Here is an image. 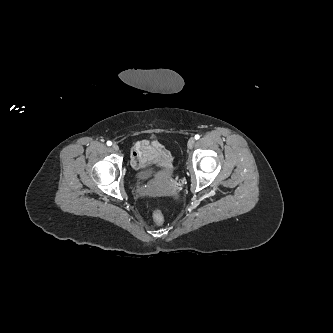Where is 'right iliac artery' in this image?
Wrapping results in <instances>:
<instances>
[{
    "mask_svg": "<svg viewBox=\"0 0 333 333\" xmlns=\"http://www.w3.org/2000/svg\"><path fill=\"white\" fill-rule=\"evenodd\" d=\"M107 145H108V146H111V145H112V142H111V141H107Z\"/></svg>",
    "mask_w": 333,
    "mask_h": 333,
    "instance_id": "obj_1",
    "label": "right iliac artery"
}]
</instances>
